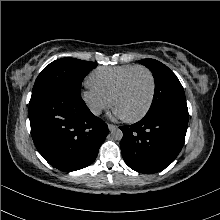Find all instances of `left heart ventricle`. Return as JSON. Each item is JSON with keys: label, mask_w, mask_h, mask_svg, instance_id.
I'll return each instance as SVG.
<instances>
[{"label": "left heart ventricle", "mask_w": 220, "mask_h": 220, "mask_svg": "<svg viewBox=\"0 0 220 220\" xmlns=\"http://www.w3.org/2000/svg\"><path fill=\"white\" fill-rule=\"evenodd\" d=\"M151 93V81L145 71L135 72L124 90L116 97L114 106L119 108L125 117H134L146 107Z\"/></svg>", "instance_id": "1"}]
</instances>
